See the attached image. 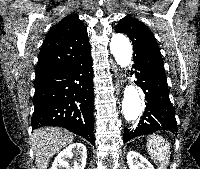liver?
Instances as JSON below:
<instances>
[{"mask_svg":"<svg viewBox=\"0 0 200 169\" xmlns=\"http://www.w3.org/2000/svg\"><path fill=\"white\" fill-rule=\"evenodd\" d=\"M74 136L60 127H41L32 134V148L37 169H47L50 158L71 144Z\"/></svg>","mask_w":200,"mask_h":169,"instance_id":"obj_1","label":"liver"}]
</instances>
